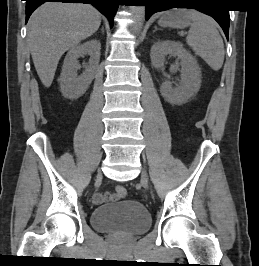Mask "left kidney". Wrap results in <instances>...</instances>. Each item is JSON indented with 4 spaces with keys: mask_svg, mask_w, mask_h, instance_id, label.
<instances>
[{
    "mask_svg": "<svg viewBox=\"0 0 259 266\" xmlns=\"http://www.w3.org/2000/svg\"><path fill=\"white\" fill-rule=\"evenodd\" d=\"M167 55L177 56L181 62V82L176 88L164 81L160 87L162 97L171 104L181 105L194 96L201 86V69L193 57L180 42L165 40L156 42L151 48V63L157 68L164 67Z\"/></svg>",
    "mask_w": 259,
    "mask_h": 266,
    "instance_id": "1",
    "label": "left kidney"
}]
</instances>
